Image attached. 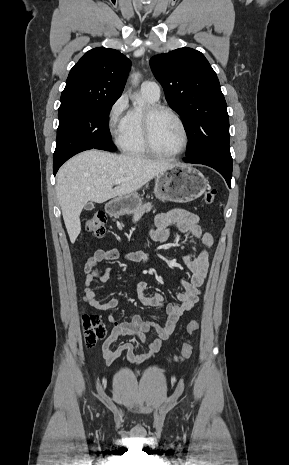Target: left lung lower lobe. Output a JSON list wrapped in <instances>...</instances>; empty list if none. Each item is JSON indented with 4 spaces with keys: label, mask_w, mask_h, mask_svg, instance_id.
<instances>
[{
    "label": "left lung lower lobe",
    "mask_w": 289,
    "mask_h": 465,
    "mask_svg": "<svg viewBox=\"0 0 289 465\" xmlns=\"http://www.w3.org/2000/svg\"><path fill=\"white\" fill-rule=\"evenodd\" d=\"M183 160L186 163L203 164L214 168L225 178L228 186L231 188L232 160L217 156H194L186 157Z\"/></svg>",
    "instance_id": "1"
}]
</instances>
